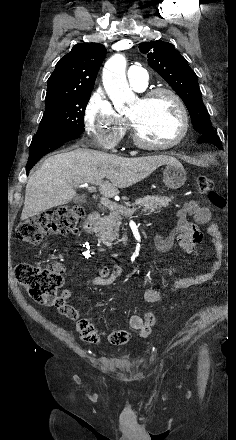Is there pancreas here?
I'll use <instances>...</instances> for the list:
<instances>
[{"label": "pancreas", "instance_id": "1", "mask_svg": "<svg viewBox=\"0 0 236 440\" xmlns=\"http://www.w3.org/2000/svg\"><path fill=\"white\" fill-rule=\"evenodd\" d=\"M173 197H164V196H156V195H147L140 199H137L134 204H127L125 206L119 205L123 210L129 209L130 206H141L144 208V211H148L149 213H157L164 207H167ZM122 216L130 217L131 215L122 213L117 210H111L108 216L102 217L96 228L95 232L97 233L99 240L102 241L106 246L111 247L112 242L119 237V226L121 224Z\"/></svg>", "mask_w": 236, "mask_h": 440}]
</instances>
